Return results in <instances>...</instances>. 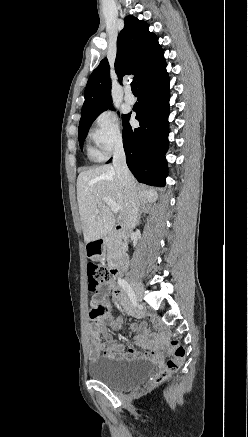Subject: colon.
<instances>
[{"label":"colon","mask_w":248,"mask_h":437,"mask_svg":"<svg viewBox=\"0 0 248 437\" xmlns=\"http://www.w3.org/2000/svg\"><path fill=\"white\" fill-rule=\"evenodd\" d=\"M87 274L89 290L91 292H97L99 290V286L103 285L109 280L112 271L107 266L90 262L88 264ZM91 305L96 306L100 304L97 302H92ZM184 355L185 350L183 346L178 340H173L171 343V356L167 360L166 366L153 377L150 382V386L154 387L163 383L172 373L176 372L181 366Z\"/></svg>","instance_id":"1"}]
</instances>
